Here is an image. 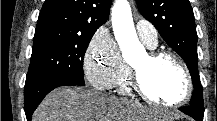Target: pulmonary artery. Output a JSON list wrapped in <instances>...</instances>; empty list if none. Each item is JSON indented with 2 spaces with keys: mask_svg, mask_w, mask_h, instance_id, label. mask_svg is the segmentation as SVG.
Instances as JSON below:
<instances>
[{
  "mask_svg": "<svg viewBox=\"0 0 217 121\" xmlns=\"http://www.w3.org/2000/svg\"><path fill=\"white\" fill-rule=\"evenodd\" d=\"M136 30L140 39L149 47L156 46L158 33L156 28L147 20L140 19L136 22Z\"/></svg>",
  "mask_w": 217,
  "mask_h": 121,
  "instance_id": "1",
  "label": "pulmonary artery"
}]
</instances>
